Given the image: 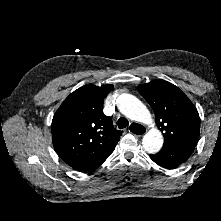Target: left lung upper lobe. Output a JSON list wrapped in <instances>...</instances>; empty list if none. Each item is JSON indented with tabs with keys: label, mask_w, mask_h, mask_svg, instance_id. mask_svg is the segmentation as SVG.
Here are the masks:
<instances>
[{
	"label": "left lung upper lobe",
	"mask_w": 221,
	"mask_h": 221,
	"mask_svg": "<svg viewBox=\"0 0 221 221\" xmlns=\"http://www.w3.org/2000/svg\"><path fill=\"white\" fill-rule=\"evenodd\" d=\"M137 91L154 111L156 125L163 132L164 146L198 141V111L178 87L167 81L154 80L138 85Z\"/></svg>",
	"instance_id": "1"
}]
</instances>
